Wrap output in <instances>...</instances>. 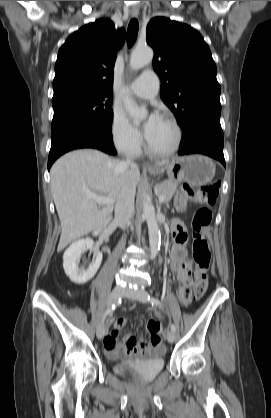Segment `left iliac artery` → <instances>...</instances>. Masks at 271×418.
<instances>
[{
	"label": "left iliac artery",
	"instance_id": "44dca946",
	"mask_svg": "<svg viewBox=\"0 0 271 418\" xmlns=\"http://www.w3.org/2000/svg\"><path fill=\"white\" fill-rule=\"evenodd\" d=\"M148 301L152 304V305H158V306H161V302L157 299V298H155V297H152V296H148ZM170 328H171V330L173 331V332H176V326L174 325V324H170Z\"/></svg>",
	"mask_w": 271,
	"mask_h": 418
}]
</instances>
